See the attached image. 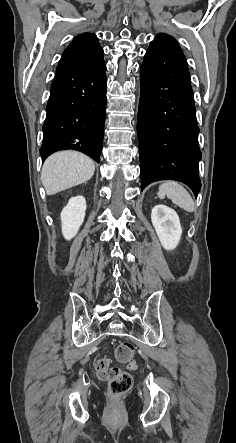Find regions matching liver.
I'll return each mask as SVG.
<instances>
[{"mask_svg":"<svg viewBox=\"0 0 236 443\" xmlns=\"http://www.w3.org/2000/svg\"><path fill=\"white\" fill-rule=\"evenodd\" d=\"M95 165L88 156L75 151H60L44 162L42 184L47 195H54L90 180Z\"/></svg>","mask_w":236,"mask_h":443,"instance_id":"1","label":"liver"}]
</instances>
